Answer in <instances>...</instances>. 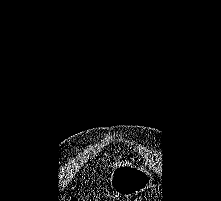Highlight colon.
Here are the masks:
<instances>
[{
  "mask_svg": "<svg viewBox=\"0 0 221 201\" xmlns=\"http://www.w3.org/2000/svg\"><path fill=\"white\" fill-rule=\"evenodd\" d=\"M66 201H79V200L77 198L71 197V198L66 199Z\"/></svg>",
  "mask_w": 221,
  "mask_h": 201,
  "instance_id": "colon-1",
  "label": "colon"
}]
</instances>
